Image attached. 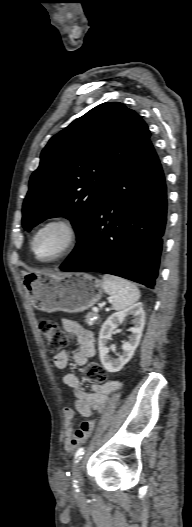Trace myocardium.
<instances>
[{"label": "myocardium", "mask_w": 192, "mask_h": 527, "mask_svg": "<svg viewBox=\"0 0 192 527\" xmlns=\"http://www.w3.org/2000/svg\"><path fill=\"white\" fill-rule=\"evenodd\" d=\"M51 225H61L63 226L67 231V241L64 245V247L55 255L49 257V258H41L38 256L36 252V240L38 235L47 227ZM80 238L79 228L75 221L67 216H54L51 217L44 222H42L33 232L31 241H30V248L32 251L33 256L36 260L42 263H52L56 262L58 260H61L65 257H67L77 246Z\"/></svg>", "instance_id": "myocardium-1"}]
</instances>
